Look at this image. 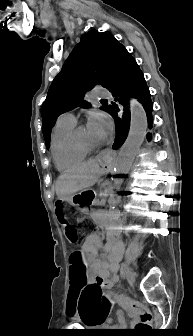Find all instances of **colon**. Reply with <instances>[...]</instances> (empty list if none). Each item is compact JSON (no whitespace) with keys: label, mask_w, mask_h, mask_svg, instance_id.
<instances>
[{"label":"colon","mask_w":193,"mask_h":336,"mask_svg":"<svg viewBox=\"0 0 193 336\" xmlns=\"http://www.w3.org/2000/svg\"><path fill=\"white\" fill-rule=\"evenodd\" d=\"M57 214L69 242L77 243L80 239L81 227L72 222V219L77 217V213L71 208L58 205ZM90 225V222H85V226L88 227ZM71 274L75 280L74 285L79 289V293L75 298V302L78 304V312L82 319L88 320L90 312L87 299L92 296H103L102 282L87 283L84 265L79 255L73 256ZM125 305L139 316V323L132 330L133 335H140L152 327L153 314L145 305L130 300H127Z\"/></svg>","instance_id":"obj_1"}]
</instances>
